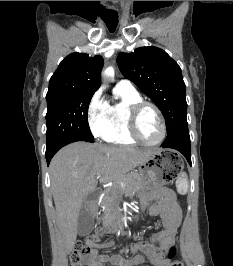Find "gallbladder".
Here are the masks:
<instances>
[{"instance_id":"obj_1","label":"gallbladder","mask_w":233,"mask_h":266,"mask_svg":"<svg viewBox=\"0 0 233 266\" xmlns=\"http://www.w3.org/2000/svg\"><path fill=\"white\" fill-rule=\"evenodd\" d=\"M94 216L86 204H84L79 212L77 222V233L79 236L89 235L94 229Z\"/></svg>"}]
</instances>
